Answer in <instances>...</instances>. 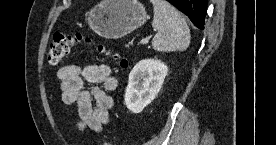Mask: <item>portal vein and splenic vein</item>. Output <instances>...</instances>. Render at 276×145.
Masks as SVG:
<instances>
[{
  "label": "portal vein and splenic vein",
  "instance_id": "obj_1",
  "mask_svg": "<svg viewBox=\"0 0 276 145\" xmlns=\"http://www.w3.org/2000/svg\"><path fill=\"white\" fill-rule=\"evenodd\" d=\"M148 43V39H142L141 41H140V44H142V45H145V44H147Z\"/></svg>",
  "mask_w": 276,
  "mask_h": 145
}]
</instances>
